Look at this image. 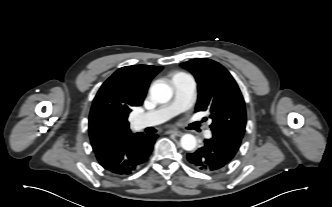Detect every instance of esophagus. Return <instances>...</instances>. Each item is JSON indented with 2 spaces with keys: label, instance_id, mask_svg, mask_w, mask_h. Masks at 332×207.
<instances>
[{
  "label": "esophagus",
  "instance_id": "esophagus-1",
  "mask_svg": "<svg viewBox=\"0 0 332 207\" xmlns=\"http://www.w3.org/2000/svg\"><path fill=\"white\" fill-rule=\"evenodd\" d=\"M166 133L167 134H173L175 136H182L183 135V132L178 131V130H168Z\"/></svg>",
  "mask_w": 332,
  "mask_h": 207
}]
</instances>
